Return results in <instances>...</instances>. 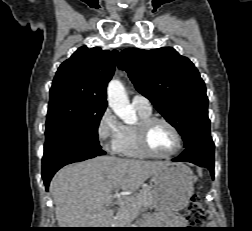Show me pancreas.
<instances>
[{"instance_id": "cf45deb5", "label": "pancreas", "mask_w": 252, "mask_h": 231, "mask_svg": "<svg viewBox=\"0 0 252 231\" xmlns=\"http://www.w3.org/2000/svg\"><path fill=\"white\" fill-rule=\"evenodd\" d=\"M136 205L150 207L153 205V193L151 188H143L139 193L129 197V201L119 210L116 217V224L125 227L130 224L131 212Z\"/></svg>"}]
</instances>
